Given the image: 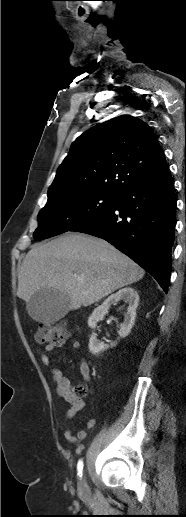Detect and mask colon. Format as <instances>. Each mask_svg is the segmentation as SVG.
<instances>
[{
	"instance_id": "colon-1",
	"label": "colon",
	"mask_w": 186,
	"mask_h": 517,
	"mask_svg": "<svg viewBox=\"0 0 186 517\" xmlns=\"http://www.w3.org/2000/svg\"><path fill=\"white\" fill-rule=\"evenodd\" d=\"M68 334L67 328L64 324L51 325L42 323L39 325L35 333V340L40 344H51L63 341ZM76 393L79 396H85L87 389L80 385L76 388Z\"/></svg>"
}]
</instances>
